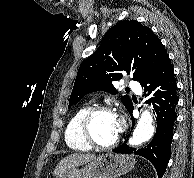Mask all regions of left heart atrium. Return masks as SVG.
<instances>
[{"mask_svg": "<svg viewBox=\"0 0 194 178\" xmlns=\"http://www.w3.org/2000/svg\"><path fill=\"white\" fill-rule=\"evenodd\" d=\"M122 128H123V120L120 117L116 116V130H117V132L119 133L122 130Z\"/></svg>", "mask_w": 194, "mask_h": 178, "instance_id": "39dd6f15", "label": "left heart atrium"}]
</instances>
